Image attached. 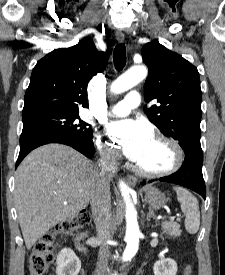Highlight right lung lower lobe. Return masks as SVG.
Returning <instances> with one entry per match:
<instances>
[{
  "label": "right lung lower lobe",
  "instance_id": "right-lung-lower-lobe-1",
  "mask_svg": "<svg viewBox=\"0 0 225 275\" xmlns=\"http://www.w3.org/2000/svg\"><path fill=\"white\" fill-rule=\"evenodd\" d=\"M48 143H61L69 145L88 158H92L95 153L92 140H81L67 134L50 130H27L22 131L20 136V153L16 162V167L30 151Z\"/></svg>",
  "mask_w": 225,
  "mask_h": 275
}]
</instances>
